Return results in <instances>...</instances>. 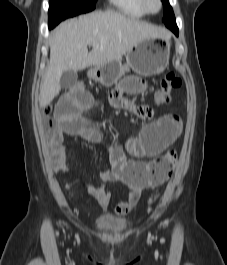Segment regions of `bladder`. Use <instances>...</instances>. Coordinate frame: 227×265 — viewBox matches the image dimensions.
Listing matches in <instances>:
<instances>
[{
	"instance_id": "obj_1",
	"label": "bladder",
	"mask_w": 227,
	"mask_h": 265,
	"mask_svg": "<svg viewBox=\"0 0 227 265\" xmlns=\"http://www.w3.org/2000/svg\"><path fill=\"white\" fill-rule=\"evenodd\" d=\"M97 231L109 235H122L126 232V227L114 222H100L96 225Z\"/></svg>"
}]
</instances>
